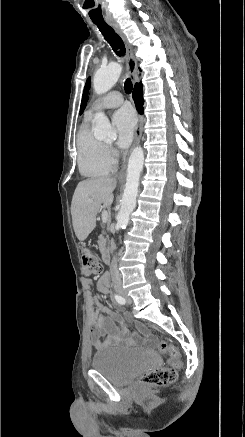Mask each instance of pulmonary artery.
<instances>
[{"label":"pulmonary artery","instance_id":"pulmonary-artery-1","mask_svg":"<svg viewBox=\"0 0 245 437\" xmlns=\"http://www.w3.org/2000/svg\"><path fill=\"white\" fill-rule=\"evenodd\" d=\"M123 103V96L118 91H112L105 96L97 99L86 112L87 117H92L93 114L100 109L116 108Z\"/></svg>","mask_w":245,"mask_h":437}]
</instances>
